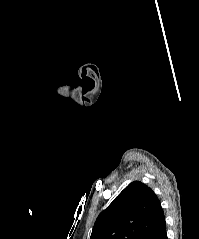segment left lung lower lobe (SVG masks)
I'll list each match as a JSON object with an SVG mask.
<instances>
[{
  "mask_svg": "<svg viewBox=\"0 0 199 239\" xmlns=\"http://www.w3.org/2000/svg\"><path fill=\"white\" fill-rule=\"evenodd\" d=\"M149 239H168L164 214L157 221Z\"/></svg>",
  "mask_w": 199,
  "mask_h": 239,
  "instance_id": "0a47b994",
  "label": "left lung lower lobe"
}]
</instances>
